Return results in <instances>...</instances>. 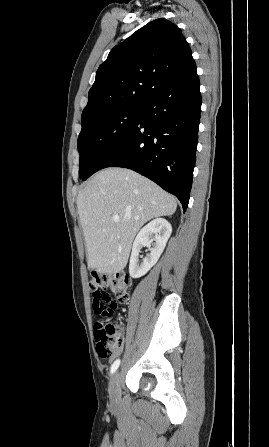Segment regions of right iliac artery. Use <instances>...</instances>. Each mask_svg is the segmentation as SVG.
<instances>
[{"label":"right iliac artery","instance_id":"1","mask_svg":"<svg viewBox=\"0 0 269 447\" xmlns=\"http://www.w3.org/2000/svg\"><path fill=\"white\" fill-rule=\"evenodd\" d=\"M119 364H120V360H119V359L116 360V361L113 363V365H112V367H111V373H114V372L117 370V368L119 367Z\"/></svg>","mask_w":269,"mask_h":447}]
</instances>
